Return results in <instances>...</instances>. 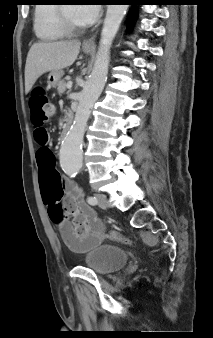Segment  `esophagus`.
<instances>
[{"label":"esophagus","instance_id":"esophagus-1","mask_svg":"<svg viewBox=\"0 0 213 338\" xmlns=\"http://www.w3.org/2000/svg\"><path fill=\"white\" fill-rule=\"evenodd\" d=\"M83 45L86 46V47H94L95 46V36H92L89 39L85 40Z\"/></svg>","mask_w":213,"mask_h":338}]
</instances>
